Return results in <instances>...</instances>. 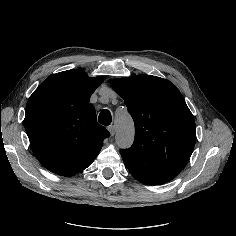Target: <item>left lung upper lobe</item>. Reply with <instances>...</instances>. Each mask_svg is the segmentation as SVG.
I'll list each match as a JSON object with an SVG mask.
<instances>
[{
  "label": "left lung upper lobe",
  "mask_w": 236,
  "mask_h": 236,
  "mask_svg": "<svg viewBox=\"0 0 236 236\" xmlns=\"http://www.w3.org/2000/svg\"><path fill=\"white\" fill-rule=\"evenodd\" d=\"M135 124V139L120 153L128 170L155 184L175 178L196 140L194 117L182 94L166 79L151 75L114 79Z\"/></svg>",
  "instance_id": "obj_1"
}]
</instances>
